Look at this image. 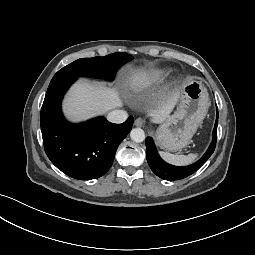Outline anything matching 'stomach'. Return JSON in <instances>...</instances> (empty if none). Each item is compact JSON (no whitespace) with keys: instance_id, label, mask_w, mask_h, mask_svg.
I'll list each match as a JSON object with an SVG mask.
<instances>
[{"instance_id":"1","label":"stomach","mask_w":255,"mask_h":255,"mask_svg":"<svg viewBox=\"0 0 255 255\" xmlns=\"http://www.w3.org/2000/svg\"><path fill=\"white\" fill-rule=\"evenodd\" d=\"M179 91L177 111L162 121L155 133L157 144L174 152L190 143L209 107L208 93L201 83L186 82Z\"/></svg>"}]
</instances>
